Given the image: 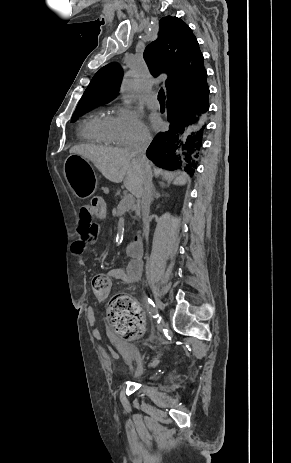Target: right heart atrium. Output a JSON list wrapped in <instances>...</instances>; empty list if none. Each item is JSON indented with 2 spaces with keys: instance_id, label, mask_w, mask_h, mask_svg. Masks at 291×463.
Masks as SVG:
<instances>
[{
  "instance_id": "obj_1",
  "label": "right heart atrium",
  "mask_w": 291,
  "mask_h": 463,
  "mask_svg": "<svg viewBox=\"0 0 291 463\" xmlns=\"http://www.w3.org/2000/svg\"><path fill=\"white\" fill-rule=\"evenodd\" d=\"M113 134L120 146L146 143L150 134L140 116L132 109L118 107L112 121Z\"/></svg>"
}]
</instances>
